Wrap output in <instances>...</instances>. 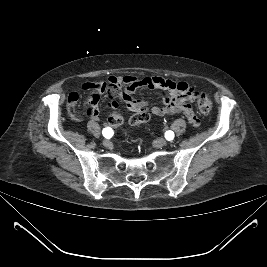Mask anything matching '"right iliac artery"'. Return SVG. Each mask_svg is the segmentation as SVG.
I'll use <instances>...</instances> for the list:
<instances>
[{"label": "right iliac artery", "mask_w": 267, "mask_h": 267, "mask_svg": "<svg viewBox=\"0 0 267 267\" xmlns=\"http://www.w3.org/2000/svg\"><path fill=\"white\" fill-rule=\"evenodd\" d=\"M102 133H103L104 137L111 138L113 135V130L111 128H104Z\"/></svg>", "instance_id": "obj_1"}]
</instances>
